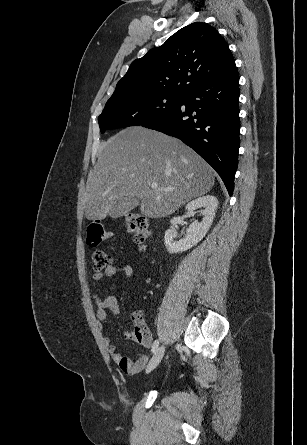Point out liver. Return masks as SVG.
Listing matches in <instances>:
<instances>
[{
  "label": "liver",
  "instance_id": "6515ba94",
  "mask_svg": "<svg viewBox=\"0 0 307 445\" xmlns=\"http://www.w3.org/2000/svg\"><path fill=\"white\" fill-rule=\"evenodd\" d=\"M213 168L179 138L143 126H128L100 142L89 172L85 216L89 220L123 216L131 198L150 218L168 216L182 204L206 194L215 180ZM157 182L158 188H151ZM173 188V190H163Z\"/></svg>",
  "mask_w": 307,
  "mask_h": 445
}]
</instances>
